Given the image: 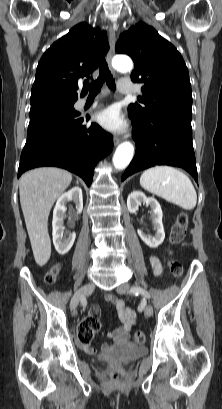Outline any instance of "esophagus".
I'll use <instances>...</instances> for the list:
<instances>
[{
	"label": "esophagus",
	"instance_id": "obj_1",
	"mask_svg": "<svg viewBox=\"0 0 222 409\" xmlns=\"http://www.w3.org/2000/svg\"><path fill=\"white\" fill-rule=\"evenodd\" d=\"M116 29H117V25H116V24L110 25V27H109V36H108V39H109V46H110V47H109V51H108L107 56H106L108 65H109V67H110V69H111V71H112V73H113V75H114L115 77H116L117 75H116L115 71L113 70V68H112V66H111V61H112V58H113V55H114V49H115V42H116L115 31H116ZM119 143H120V138H119V137H115V138H114V145L116 146V145H118Z\"/></svg>",
	"mask_w": 222,
	"mask_h": 409
}]
</instances>
